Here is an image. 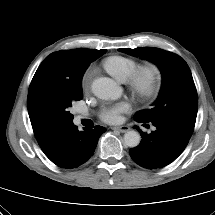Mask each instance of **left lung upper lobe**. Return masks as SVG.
<instances>
[{"instance_id": "1", "label": "left lung upper lobe", "mask_w": 215, "mask_h": 215, "mask_svg": "<svg viewBox=\"0 0 215 215\" xmlns=\"http://www.w3.org/2000/svg\"><path fill=\"white\" fill-rule=\"evenodd\" d=\"M119 51L155 63L163 75L161 91L153 107L137 112L134 119L168 123L191 136L197 116L198 98L187 63L177 54L159 48H122Z\"/></svg>"}]
</instances>
